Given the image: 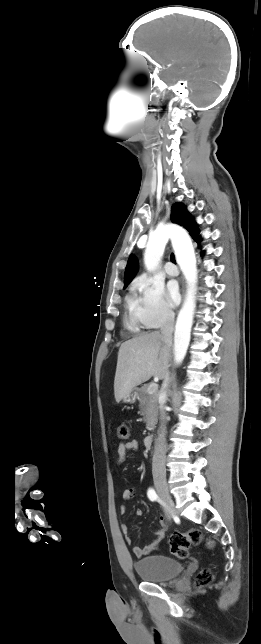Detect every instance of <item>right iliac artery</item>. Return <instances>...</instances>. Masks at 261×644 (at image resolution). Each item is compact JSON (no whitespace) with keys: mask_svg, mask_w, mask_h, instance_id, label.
<instances>
[{"mask_svg":"<svg viewBox=\"0 0 261 644\" xmlns=\"http://www.w3.org/2000/svg\"><path fill=\"white\" fill-rule=\"evenodd\" d=\"M147 496L151 501H155L158 496L153 488H149L147 492Z\"/></svg>","mask_w":261,"mask_h":644,"instance_id":"obj_1","label":"right iliac artery"}]
</instances>
